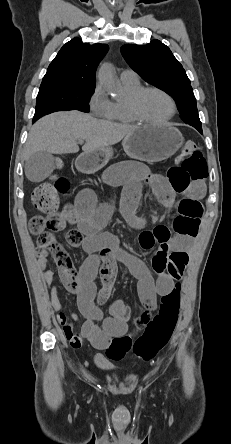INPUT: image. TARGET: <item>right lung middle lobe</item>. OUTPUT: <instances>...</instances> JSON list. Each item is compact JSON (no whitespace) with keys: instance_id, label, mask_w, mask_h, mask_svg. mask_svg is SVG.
I'll use <instances>...</instances> for the list:
<instances>
[{"instance_id":"dd1d6c3e","label":"right lung middle lobe","mask_w":231,"mask_h":444,"mask_svg":"<svg viewBox=\"0 0 231 444\" xmlns=\"http://www.w3.org/2000/svg\"><path fill=\"white\" fill-rule=\"evenodd\" d=\"M93 92L94 88H40L33 122L55 111L76 109L88 112L87 103Z\"/></svg>"}]
</instances>
